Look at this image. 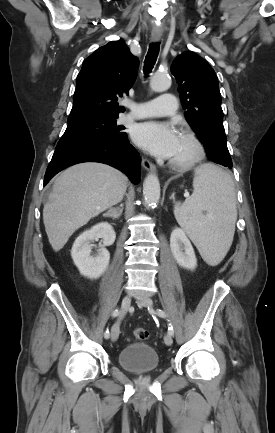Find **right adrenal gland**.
Here are the masks:
<instances>
[{
    "instance_id": "obj_1",
    "label": "right adrenal gland",
    "mask_w": 275,
    "mask_h": 433,
    "mask_svg": "<svg viewBox=\"0 0 275 433\" xmlns=\"http://www.w3.org/2000/svg\"><path fill=\"white\" fill-rule=\"evenodd\" d=\"M123 212V204H120L119 208H110L107 213L103 214L104 217H110L113 220L118 219Z\"/></svg>"
}]
</instances>
